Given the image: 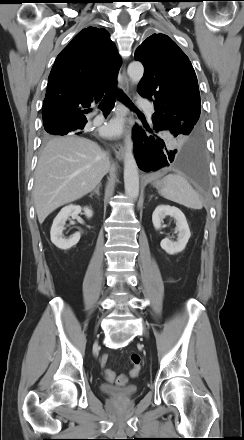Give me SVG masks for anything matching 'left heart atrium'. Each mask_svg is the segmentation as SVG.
I'll list each match as a JSON object with an SVG mask.
<instances>
[{"label":"left heart atrium","instance_id":"1","mask_svg":"<svg viewBox=\"0 0 244 440\" xmlns=\"http://www.w3.org/2000/svg\"><path fill=\"white\" fill-rule=\"evenodd\" d=\"M122 131L123 123L120 119H114L101 128V133L108 138H116L121 135Z\"/></svg>","mask_w":244,"mask_h":440}]
</instances>
